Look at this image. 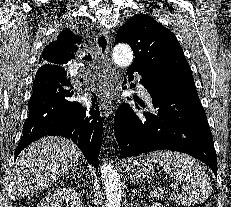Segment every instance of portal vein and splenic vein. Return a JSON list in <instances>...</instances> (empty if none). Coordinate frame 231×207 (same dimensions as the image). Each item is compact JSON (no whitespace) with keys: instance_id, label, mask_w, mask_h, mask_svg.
Instances as JSON below:
<instances>
[{"instance_id":"1","label":"portal vein and splenic vein","mask_w":231,"mask_h":207,"mask_svg":"<svg viewBox=\"0 0 231 207\" xmlns=\"http://www.w3.org/2000/svg\"><path fill=\"white\" fill-rule=\"evenodd\" d=\"M173 188H175L176 186L175 185H172Z\"/></svg>"}]
</instances>
